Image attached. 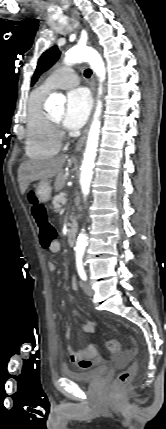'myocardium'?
I'll use <instances>...</instances> for the list:
<instances>
[{"label": "myocardium", "mask_w": 166, "mask_h": 429, "mask_svg": "<svg viewBox=\"0 0 166 429\" xmlns=\"http://www.w3.org/2000/svg\"><path fill=\"white\" fill-rule=\"evenodd\" d=\"M50 117V116H49ZM51 123L54 126L56 136L58 138L63 137V132L60 130V122L50 117Z\"/></svg>", "instance_id": "f54148a6"}]
</instances>
